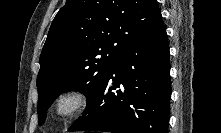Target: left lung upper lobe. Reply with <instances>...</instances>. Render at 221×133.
<instances>
[{
    "instance_id": "left-lung-upper-lobe-1",
    "label": "left lung upper lobe",
    "mask_w": 221,
    "mask_h": 133,
    "mask_svg": "<svg viewBox=\"0 0 221 133\" xmlns=\"http://www.w3.org/2000/svg\"><path fill=\"white\" fill-rule=\"evenodd\" d=\"M160 18L156 0H67L40 56L39 125L62 92L78 90L89 104L121 51Z\"/></svg>"
}]
</instances>
